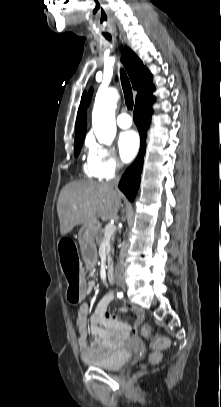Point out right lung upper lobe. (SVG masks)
<instances>
[{
	"label": "right lung upper lobe",
	"mask_w": 221,
	"mask_h": 407,
	"mask_svg": "<svg viewBox=\"0 0 221 407\" xmlns=\"http://www.w3.org/2000/svg\"><path fill=\"white\" fill-rule=\"evenodd\" d=\"M121 60L125 65L134 90H137L136 103L140 104L149 98L154 91L152 74L143 65L137 55L128 47L122 50ZM86 95H82L76 120L75 142H83L86 134Z\"/></svg>",
	"instance_id": "cb5924a9"
}]
</instances>
